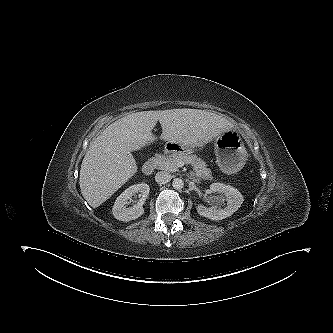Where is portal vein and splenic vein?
Returning <instances> with one entry per match:
<instances>
[{
  "mask_svg": "<svg viewBox=\"0 0 333 333\" xmlns=\"http://www.w3.org/2000/svg\"><path fill=\"white\" fill-rule=\"evenodd\" d=\"M183 164H184V163H183L182 161H178V165H179V166H183Z\"/></svg>",
  "mask_w": 333,
  "mask_h": 333,
  "instance_id": "obj_1",
  "label": "portal vein and splenic vein"
}]
</instances>
